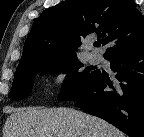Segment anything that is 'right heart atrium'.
<instances>
[{"instance_id": "d8ad5b80", "label": "right heart atrium", "mask_w": 144, "mask_h": 137, "mask_svg": "<svg viewBox=\"0 0 144 137\" xmlns=\"http://www.w3.org/2000/svg\"><path fill=\"white\" fill-rule=\"evenodd\" d=\"M67 71L64 69L57 70L50 78V87L53 89H59L63 87L67 81Z\"/></svg>"}]
</instances>
